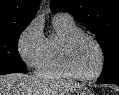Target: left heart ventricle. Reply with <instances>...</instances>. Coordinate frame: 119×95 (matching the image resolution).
<instances>
[{
    "label": "left heart ventricle",
    "mask_w": 119,
    "mask_h": 95,
    "mask_svg": "<svg viewBox=\"0 0 119 95\" xmlns=\"http://www.w3.org/2000/svg\"><path fill=\"white\" fill-rule=\"evenodd\" d=\"M99 52L96 45L87 37L81 36L71 47L70 61L74 71L80 75H92L99 66Z\"/></svg>",
    "instance_id": "obj_1"
}]
</instances>
